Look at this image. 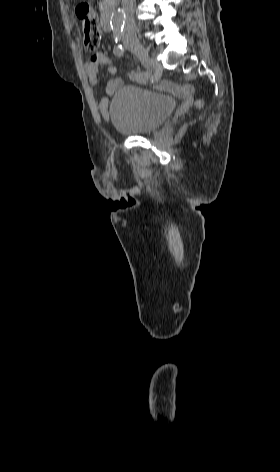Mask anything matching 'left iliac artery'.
<instances>
[{"label":"left iliac artery","instance_id":"obj_1","mask_svg":"<svg viewBox=\"0 0 280 472\" xmlns=\"http://www.w3.org/2000/svg\"><path fill=\"white\" fill-rule=\"evenodd\" d=\"M113 29V37H114V40L115 42L117 43L118 41H120L121 39V35H122V28L121 27H112Z\"/></svg>","mask_w":280,"mask_h":472}]
</instances>
